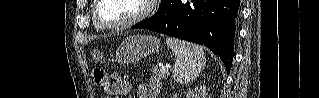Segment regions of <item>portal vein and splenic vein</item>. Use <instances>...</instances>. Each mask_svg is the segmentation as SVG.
Instances as JSON below:
<instances>
[{
  "instance_id": "obj_1",
  "label": "portal vein and splenic vein",
  "mask_w": 319,
  "mask_h": 98,
  "mask_svg": "<svg viewBox=\"0 0 319 98\" xmlns=\"http://www.w3.org/2000/svg\"><path fill=\"white\" fill-rule=\"evenodd\" d=\"M161 67L163 70H168L170 68V65L169 64H166L165 66L161 65Z\"/></svg>"
}]
</instances>
